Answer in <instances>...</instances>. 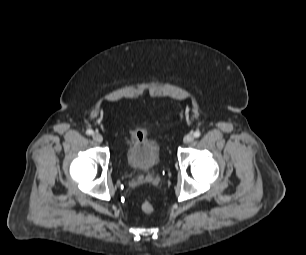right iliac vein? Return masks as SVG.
Instances as JSON below:
<instances>
[{
  "label": "right iliac vein",
  "mask_w": 306,
  "mask_h": 255,
  "mask_svg": "<svg viewBox=\"0 0 306 255\" xmlns=\"http://www.w3.org/2000/svg\"><path fill=\"white\" fill-rule=\"evenodd\" d=\"M92 138L98 143H101L103 141L102 135L98 132L93 133Z\"/></svg>",
  "instance_id": "obj_1"
}]
</instances>
